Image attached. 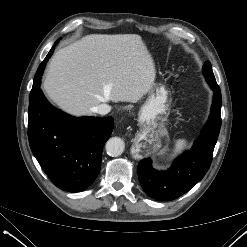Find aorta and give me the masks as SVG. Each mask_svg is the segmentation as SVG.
I'll return each mask as SVG.
<instances>
[{
  "label": "aorta",
  "mask_w": 247,
  "mask_h": 247,
  "mask_svg": "<svg viewBox=\"0 0 247 247\" xmlns=\"http://www.w3.org/2000/svg\"><path fill=\"white\" fill-rule=\"evenodd\" d=\"M124 148L125 143L119 137H112L105 144L107 154L112 157H117L121 155L124 151Z\"/></svg>",
  "instance_id": "obj_1"
}]
</instances>
